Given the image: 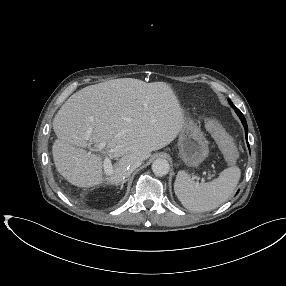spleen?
I'll list each match as a JSON object with an SVG mask.
<instances>
[{
    "label": "spleen",
    "instance_id": "obj_1",
    "mask_svg": "<svg viewBox=\"0 0 286 286\" xmlns=\"http://www.w3.org/2000/svg\"><path fill=\"white\" fill-rule=\"evenodd\" d=\"M241 170L237 166L224 169L213 181L198 183L185 171L176 176L174 190L182 205L193 212L211 211L226 202L240 180Z\"/></svg>",
    "mask_w": 286,
    "mask_h": 286
}]
</instances>
